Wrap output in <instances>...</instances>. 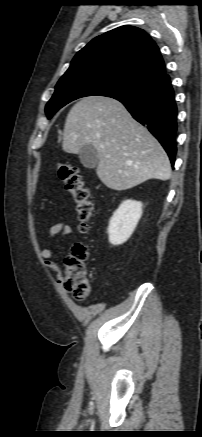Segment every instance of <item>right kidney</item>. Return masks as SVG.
<instances>
[{"mask_svg":"<svg viewBox=\"0 0 202 437\" xmlns=\"http://www.w3.org/2000/svg\"><path fill=\"white\" fill-rule=\"evenodd\" d=\"M141 216V202L135 200L124 201L110 219L108 226L109 242L112 245L125 243L133 234Z\"/></svg>","mask_w":202,"mask_h":437,"instance_id":"right-kidney-1","label":"right kidney"}]
</instances>
